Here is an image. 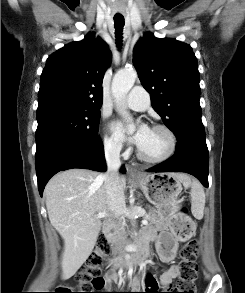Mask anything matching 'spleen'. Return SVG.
<instances>
[{"label": "spleen", "mask_w": 245, "mask_h": 293, "mask_svg": "<svg viewBox=\"0 0 245 293\" xmlns=\"http://www.w3.org/2000/svg\"><path fill=\"white\" fill-rule=\"evenodd\" d=\"M191 185V212L196 219H202L205 207V192L203 186L196 180H189Z\"/></svg>", "instance_id": "obj_1"}]
</instances>
